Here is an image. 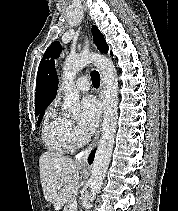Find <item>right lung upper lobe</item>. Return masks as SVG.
<instances>
[{
    "instance_id": "1",
    "label": "right lung upper lobe",
    "mask_w": 178,
    "mask_h": 211,
    "mask_svg": "<svg viewBox=\"0 0 178 211\" xmlns=\"http://www.w3.org/2000/svg\"><path fill=\"white\" fill-rule=\"evenodd\" d=\"M57 84L54 62L45 61L36 80L35 112L45 110L52 102L57 92Z\"/></svg>"
}]
</instances>
